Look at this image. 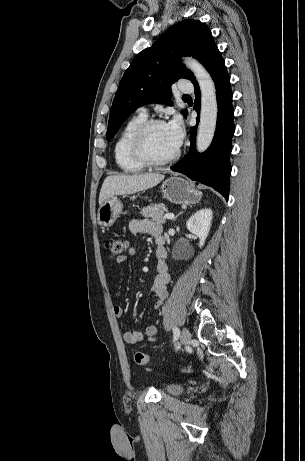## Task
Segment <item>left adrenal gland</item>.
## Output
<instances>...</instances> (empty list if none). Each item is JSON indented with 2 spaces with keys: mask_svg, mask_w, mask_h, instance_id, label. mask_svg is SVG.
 <instances>
[{
  "mask_svg": "<svg viewBox=\"0 0 305 461\" xmlns=\"http://www.w3.org/2000/svg\"><path fill=\"white\" fill-rule=\"evenodd\" d=\"M182 213H183V211L180 212V213L173 219V221H175V220L178 218V216H180Z\"/></svg>",
  "mask_w": 305,
  "mask_h": 461,
  "instance_id": "obj_1",
  "label": "left adrenal gland"
}]
</instances>
